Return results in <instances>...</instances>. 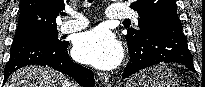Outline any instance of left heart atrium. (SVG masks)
I'll use <instances>...</instances> for the list:
<instances>
[{
	"mask_svg": "<svg viewBox=\"0 0 205 87\" xmlns=\"http://www.w3.org/2000/svg\"><path fill=\"white\" fill-rule=\"evenodd\" d=\"M73 52L77 60L100 69L114 68L123 55L115 36L103 28H95L79 35Z\"/></svg>",
	"mask_w": 205,
	"mask_h": 87,
	"instance_id": "obj_1",
	"label": "left heart atrium"
}]
</instances>
